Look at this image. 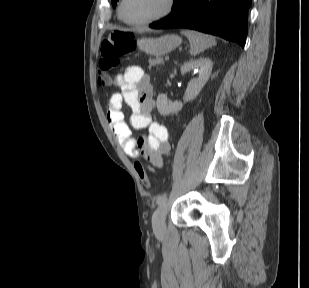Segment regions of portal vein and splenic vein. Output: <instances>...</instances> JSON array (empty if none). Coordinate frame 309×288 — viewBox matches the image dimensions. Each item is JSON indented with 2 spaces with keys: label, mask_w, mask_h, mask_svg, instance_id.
Returning <instances> with one entry per match:
<instances>
[{
  "label": "portal vein and splenic vein",
  "mask_w": 309,
  "mask_h": 288,
  "mask_svg": "<svg viewBox=\"0 0 309 288\" xmlns=\"http://www.w3.org/2000/svg\"><path fill=\"white\" fill-rule=\"evenodd\" d=\"M165 60H166V61L169 60V56L166 55V56H165Z\"/></svg>",
  "instance_id": "1"
}]
</instances>
